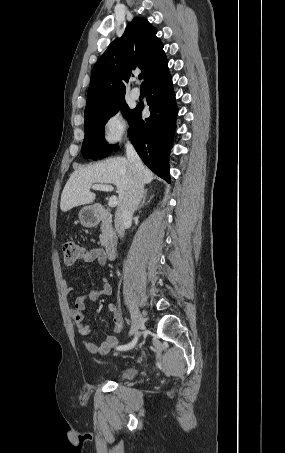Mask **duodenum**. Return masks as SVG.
<instances>
[{"mask_svg":"<svg viewBox=\"0 0 285 453\" xmlns=\"http://www.w3.org/2000/svg\"><path fill=\"white\" fill-rule=\"evenodd\" d=\"M94 217L97 222L104 223L107 226L103 245L107 258L112 260L115 258L118 249V239L112 227L113 215L104 207H96Z\"/></svg>","mask_w":285,"mask_h":453,"instance_id":"obj_1","label":"duodenum"}]
</instances>
